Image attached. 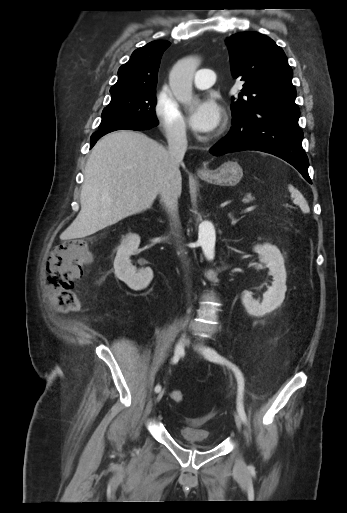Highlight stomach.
<instances>
[{
    "label": "stomach",
    "instance_id": "0dacf381",
    "mask_svg": "<svg viewBox=\"0 0 347 513\" xmlns=\"http://www.w3.org/2000/svg\"><path fill=\"white\" fill-rule=\"evenodd\" d=\"M202 180L219 186H235L243 177V170L236 161H227L208 175L200 176Z\"/></svg>",
    "mask_w": 347,
    "mask_h": 513
}]
</instances>
